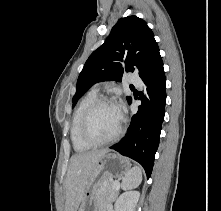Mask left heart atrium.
I'll return each instance as SVG.
<instances>
[{
  "instance_id": "left-heart-atrium-1",
  "label": "left heart atrium",
  "mask_w": 221,
  "mask_h": 211,
  "mask_svg": "<svg viewBox=\"0 0 221 211\" xmlns=\"http://www.w3.org/2000/svg\"><path fill=\"white\" fill-rule=\"evenodd\" d=\"M115 108L117 109V111L121 114L122 109H123V105L122 103H117L116 105H114Z\"/></svg>"
}]
</instances>
